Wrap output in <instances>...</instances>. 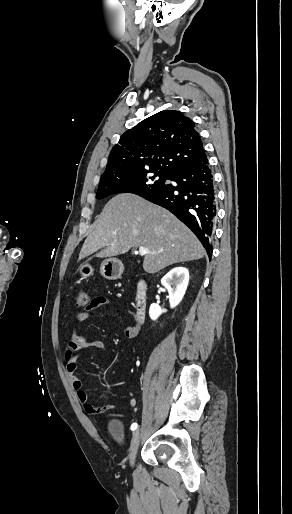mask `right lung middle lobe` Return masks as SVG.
<instances>
[{"label":"right lung middle lobe","mask_w":292,"mask_h":514,"mask_svg":"<svg viewBox=\"0 0 292 514\" xmlns=\"http://www.w3.org/2000/svg\"><path fill=\"white\" fill-rule=\"evenodd\" d=\"M169 177V174L153 171L100 180L96 198L102 199L115 193L143 196L161 187Z\"/></svg>","instance_id":"right-lung-middle-lobe-1"}]
</instances>
